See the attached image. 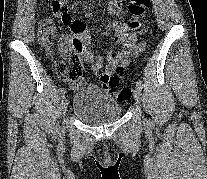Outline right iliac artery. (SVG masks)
<instances>
[{
	"label": "right iliac artery",
	"instance_id": "1",
	"mask_svg": "<svg viewBox=\"0 0 207 179\" xmlns=\"http://www.w3.org/2000/svg\"><path fill=\"white\" fill-rule=\"evenodd\" d=\"M64 93H65L64 88H60L59 91H58V96L61 98V97L64 96Z\"/></svg>",
	"mask_w": 207,
	"mask_h": 179
}]
</instances>
